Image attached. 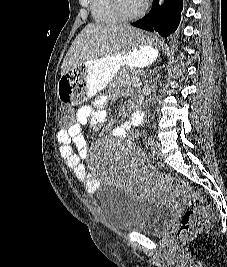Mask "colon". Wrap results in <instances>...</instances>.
<instances>
[{
	"label": "colon",
	"instance_id": "1",
	"mask_svg": "<svg viewBox=\"0 0 227 267\" xmlns=\"http://www.w3.org/2000/svg\"><path fill=\"white\" fill-rule=\"evenodd\" d=\"M63 119L61 125H72L74 119V110H62ZM162 185L171 193L176 195L184 204L197 203L196 206L188 208L181 216L178 230L176 233L177 245L181 246L191 240L198 233L211 229L215 224L214 212L205 204L203 198L193 187L183 179L171 175L163 174L161 178Z\"/></svg>",
	"mask_w": 227,
	"mask_h": 267
}]
</instances>
